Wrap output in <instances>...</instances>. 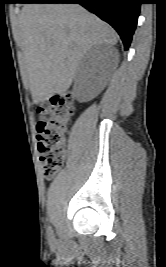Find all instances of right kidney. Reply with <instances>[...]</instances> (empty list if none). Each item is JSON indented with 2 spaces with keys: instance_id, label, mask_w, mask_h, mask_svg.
<instances>
[{
  "instance_id": "right-kidney-1",
  "label": "right kidney",
  "mask_w": 166,
  "mask_h": 267,
  "mask_svg": "<svg viewBox=\"0 0 166 267\" xmlns=\"http://www.w3.org/2000/svg\"><path fill=\"white\" fill-rule=\"evenodd\" d=\"M106 50L97 45L89 50L76 78V95L80 102L93 99L101 91V75L106 63Z\"/></svg>"
}]
</instances>
